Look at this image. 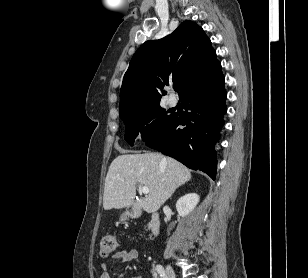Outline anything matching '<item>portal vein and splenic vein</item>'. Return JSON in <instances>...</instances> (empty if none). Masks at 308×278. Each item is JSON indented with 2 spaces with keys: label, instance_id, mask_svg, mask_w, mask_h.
<instances>
[{
  "label": "portal vein and splenic vein",
  "instance_id": "18ae733b",
  "mask_svg": "<svg viewBox=\"0 0 308 278\" xmlns=\"http://www.w3.org/2000/svg\"><path fill=\"white\" fill-rule=\"evenodd\" d=\"M141 191L143 194H148L149 193V188L147 186H142Z\"/></svg>",
  "mask_w": 308,
  "mask_h": 278
}]
</instances>
